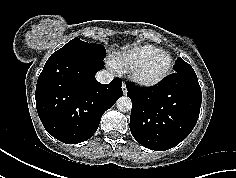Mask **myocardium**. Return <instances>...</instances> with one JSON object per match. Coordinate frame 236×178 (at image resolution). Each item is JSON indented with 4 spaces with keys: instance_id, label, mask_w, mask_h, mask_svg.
<instances>
[{
    "instance_id": "myocardium-1",
    "label": "myocardium",
    "mask_w": 236,
    "mask_h": 178,
    "mask_svg": "<svg viewBox=\"0 0 236 178\" xmlns=\"http://www.w3.org/2000/svg\"><path fill=\"white\" fill-rule=\"evenodd\" d=\"M159 56H167L169 58V65H168L167 69L165 70V72H163L160 76H158L156 78H149V77L145 76L143 73L145 66L151 60H153ZM172 69H173L172 56L170 55V53H168L166 51H160L155 54H152L149 57H146L145 59H143L140 62H138L137 64H135L130 71V75H131L132 80L137 85L142 86V87H153V86H157L160 83H162L170 75Z\"/></svg>"
}]
</instances>
